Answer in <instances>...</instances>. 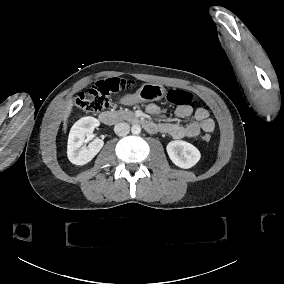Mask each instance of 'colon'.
<instances>
[{
    "label": "colon",
    "mask_w": 284,
    "mask_h": 284,
    "mask_svg": "<svg viewBox=\"0 0 284 284\" xmlns=\"http://www.w3.org/2000/svg\"><path fill=\"white\" fill-rule=\"evenodd\" d=\"M133 82L113 77L99 83L98 86L81 91L77 95L78 107L86 112H99L106 108L108 96L126 88H130ZM165 99L174 108H189L195 102L194 95L186 89L171 88L165 94ZM203 139L208 141L209 134H204Z\"/></svg>",
    "instance_id": "5ec220e1"
}]
</instances>
